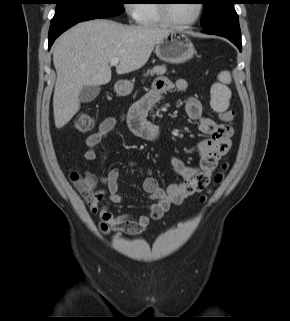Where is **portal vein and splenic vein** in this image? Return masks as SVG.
<instances>
[{
    "label": "portal vein and splenic vein",
    "mask_w": 290,
    "mask_h": 321,
    "mask_svg": "<svg viewBox=\"0 0 290 321\" xmlns=\"http://www.w3.org/2000/svg\"><path fill=\"white\" fill-rule=\"evenodd\" d=\"M118 63H119V59L118 58H113L110 61V65L111 66H116V65H118Z\"/></svg>",
    "instance_id": "1"
}]
</instances>
